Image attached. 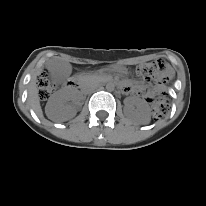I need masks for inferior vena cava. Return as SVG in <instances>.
<instances>
[{
  "label": "inferior vena cava",
  "mask_w": 206,
  "mask_h": 206,
  "mask_svg": "<svg viewBox=\"0 0 206 206\" xmlns=\"http://www.w3.org/2000/svg\"><path fill=\"white\" fill-rule=\"evenodd\" d=\"M96 88H97V86L90 87V88L86 89L84 93H89L91 91H94Z\"/></svg>",
  "instance_id": "1"
}]
</instances>
